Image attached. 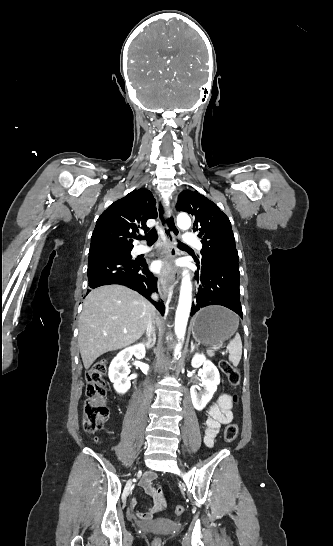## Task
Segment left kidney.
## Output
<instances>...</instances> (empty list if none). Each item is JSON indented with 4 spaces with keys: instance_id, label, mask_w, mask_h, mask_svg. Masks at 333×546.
<instances>
[{
    "instance_id": "1",
    "label": "left kidney",
    "mask_w": 333,
    "mask_h": 546,
    "mask_svg": "<svg viewBox=\"0 0 333 546\" xmlns=\"http://www.w3.org/2000/svg\"><path fill=\"white\" fill-rule=\"evenodd\" d=\"M191 364L194 368L202 366L200 376L202 386L205 388L204 392L198 393L196 386H192L190 389L192 404L196 410L201 411L217 390V385L220 383V375L216 366L210 360H207L203 354H196Z\"/></svg>"
}]
</instances>
